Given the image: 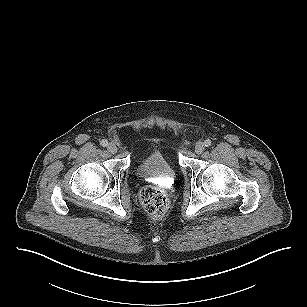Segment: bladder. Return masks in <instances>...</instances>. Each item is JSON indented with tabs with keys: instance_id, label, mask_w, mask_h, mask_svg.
Segmentation results:
<instances>
[{
	"instance_id": "1",
	"label": "bladder",
	"mask_w": 307,
	"mask_h": 307,
	"mask_svg": "<svg viewBox=\"0 0 307 307\" xmlns=\"http://www.w3.org/2000/svg\"><path fill=\"white\" fill-rule=\"evenodd\" d=\"M136 174L142 179H174L175 170L165 155L154 151L142 158L136 165Z\"/></svg>"
}]
</instances>
